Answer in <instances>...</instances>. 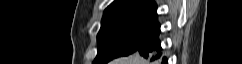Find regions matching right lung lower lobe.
<instances>
[{"mask_svg":"<svg viewBox=\"0 0 242 64\" xmlns=\"http://www.w3.org/2000/svg\"><path fill=\"white\" fill-rule=\"evenodd\" d=\"M159 34L160 30L158 33L152 37L148 43H146L144 46H142L138 52L140 53L141 56L144 58H151V61L157 60L161 56V45L159 41ZM162 64H168L167 58L162 59Z\"/></svg>","mask_w":242,"mask_h":64,"instance_id":"98d812e1","label":"right lung lower lobe"}]
</instances>
